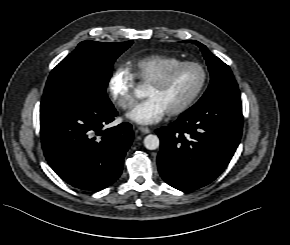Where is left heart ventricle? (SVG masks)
Masks as SVG:
<instances>
[{
	"instance_id": "obj_1",
	"label": "left heart ventricle",
	"mask_w": 290,
	"mask_h": 245,
	"mask_svg": "<svg viewBox=\"0 0 290 245\" xmlns=\"http://www.w3.org/2000/svg\"><path fill=\"white\" fill-rule=\"evenodd\" d=\"M202 81V72L197 67H183L173 72L161 86L147 85L144 95L156 98L168 111L186 102Z\"/></svg>"
}]
</instances>
